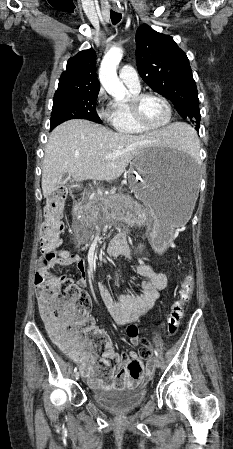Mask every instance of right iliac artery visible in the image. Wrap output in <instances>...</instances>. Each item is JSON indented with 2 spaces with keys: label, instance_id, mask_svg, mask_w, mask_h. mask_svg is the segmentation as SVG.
<instances>
[{
  "label": "right iliac artery",
  "instance_id": "82829eb1",
  "mask_svg": "<svg viewBox=\"0 0 233 449\" xmlns=\"http://www.w3.org/2000/svg\"><path fill=\"white\" fill-rule=\"evenodd\" d=\"M74 372H77V367L74 369Z\"/></svg>",
  "mask_w": 233,
  "mask_h": 449
}]
</instances>
